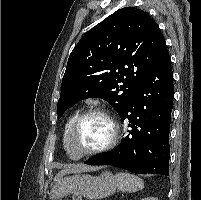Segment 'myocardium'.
Instances as JSON below:
<instances>
[{
	"label": "myocardium",
	"instance_id": "1",
	"mask_svg": "<svg viewBox=\"0 0 201 200\" xmlns=\"http://www.w3.org/2000/svg\"><path fill=\"white\" fill-rule=\"evenodd\" d=\"M90 116L102 117L109 123L110 129H111L110 137L104 145H102L98 148H95V149H92V150H89L86 152H82V153H76L72 146L73 133H74L76 127L78 126V124L83 119L90 117ZM119 133H120V130H119L118 122H117L116 118L108 110L103 109V108H91L89 110L82 112L77 117H75L72 124L70 125V127L67 131V134H66V138H65V145H66L67 153L74 160L105 153V152L113 149L117 145L118 140H119Z\"/></svg>",
	"mask_w": 201,
	"mask_h": 200
}]
</instances>
